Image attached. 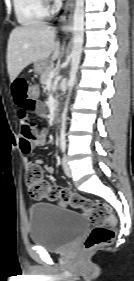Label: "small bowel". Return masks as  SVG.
<instances>
[{
	"instance_id": "c3829d8e",
	"label": "small bowel",
	"mask_w": 134,
	"mask_h": 281,
	"mask_svg": "<svg viewBox=\"0 0 134 281\" xmlns=\"http://www.w3.org/2000/svg\"><path fill=\"white\" fill-rule=\"evenodd\" d=\"M29 82L24 77L18 76L11 83V91L16 105L18 106V116L21 122V141L20 147L24 155L29 156L35 147L42 146L47 141V132L39 131L36 126L29 121L30 113L39 116H45V105L38 100H31L28 96ZM42 166L43 160L37 158L34 162L27 161V167ZM47 173L53 174L55 169L53 166L44 165Z\"/></svg>"
}]
</instances>
